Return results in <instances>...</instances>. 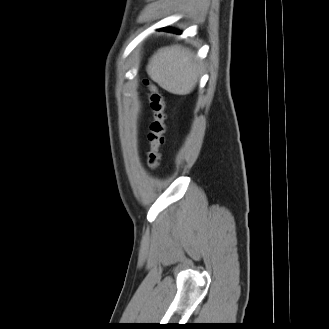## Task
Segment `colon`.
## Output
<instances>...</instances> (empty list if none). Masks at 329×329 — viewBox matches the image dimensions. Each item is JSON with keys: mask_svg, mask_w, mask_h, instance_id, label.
Here are the masks:
<instances>
[{"mask_svg": "<svg viewBox=\"0 0 329 329\" xmlns=\"http://www.w3.org/2000/svg\"><path fill=\"white\" fill-rule=\"evenodd\" d=\"M144 84L149 89V102L153 112V121L148 134L150 147L146 153V158L148 167L155 170L159 165L160 148L165 142V101L163 94L154 84L148 80H144Z\"/></svg>", "mask_w": 329, "mask_h": 329, "instance_id": "1", "label": "colon"}]
</instances>
